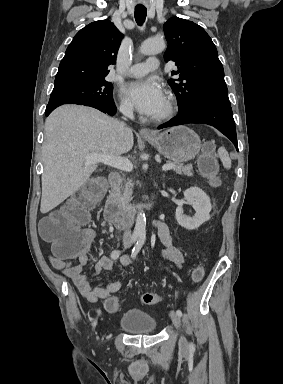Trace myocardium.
<instances>
[{"instance_id": "1", "label": "myocardium", "mask_w": 283, "mask_h": 384, "mask_svg": "<svg viewBox=\"0 0 283 384\" xmlns=\"http://www.w3.org/2000/svg\"><path fill=\"white\" fill-rule=\"evenodd\" d=\"M173 114V103L170 99H166L162 112L153 117V121L159 122L169 119Z\"/></svg>"}]
</instances>
